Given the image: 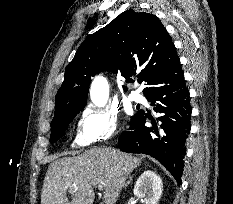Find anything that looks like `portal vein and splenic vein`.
Returning <instances> with one entry per match:
<instances>
[{
    "instance_id": "1",
    "label": "portal vein and splenic vein",
    "mask_w": 233,
    "mask_h": 204,
    "mask_svg": "<svg viewBox=\"0 0 233 204\" xmlns=\"http://www.w3.org/2000/svg\"><path fill=\"white\" fill-rule=\"evenodd\" d=\"M99 190H103V186L102 185H98L97 186Z\"/></svg>"
}]
</instances>
